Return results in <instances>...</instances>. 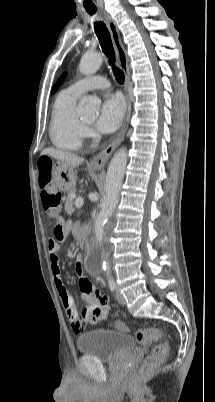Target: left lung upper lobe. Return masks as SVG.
<instances>
[{"label":"left lung upper lobe","instance_id":"obj_1","mask_svg":"<svg viewBox=\"0 0 215 402\" xmlns=\"http://www.w3.org/2000/svg\"><path fill=\"white\" fill-rule=\"evenodd\" d=\"M66 74L64 73L60 79L58 80V82L54 85L53 89H52V94L57 90L58 86L61 84V82L65 79Z\"/></svg>","mask_w":215,"mask_h":402}]
</instances>
